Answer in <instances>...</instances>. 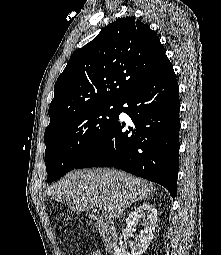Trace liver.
<instances>
[{
	"label": "liver",
	"mask_w": 221,
	"mask_h": 255,
	"mask_svg": "<svg viewBox=\"0 0 221 255\" xmlns=\"http://www.w3.org/2000/svg\"><path fill=\"white\" fill-rule=\"evenodd\" d=\"M155 190L152 183L123 171L92 169L69 172L47 190V196L77 212L89 211L99 202L110 218H119L131 204Z\"/></svg>",
	"instance_id": "liver-1"
}]
</instances>
